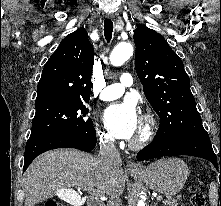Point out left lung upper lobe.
I'll return each instance as SVG.
<instances>
[{
	"instance_id": "1",
	"label": "left lung upper lobe",
	"mask_w": 221,
	"mask_h": 206,
	"mask_svg": "<svg viewBox=\"0 0 221 206\" xmlns=\"http://www.w3.org/2000/svg\"><path fill=\"white\" fill-rule=\"evenodd\" d=\"M135 68L149 103L160 118L153 140L208 136L190 90L183 62L165 39L146 26L134 32Z\"/></svg>"
}]
</instances>
